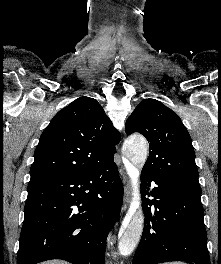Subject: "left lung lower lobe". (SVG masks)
I'll return each instance as SVG.
<instances>
[{
	"label": "left lung lower lobe",
	"instance_id": "1",
	"mask_svg": "<svg viewBox=\"0 0 221 264\" xmlns=\"http://www.w3.org/2000/svg\"><path fill=\"white\" fill-rule=\"evenodd\" d=\"M141 179L145 221L132 264H210L201 189L144 171ZM151 182L154 187L150 189Z\"/></svg>",
	"mask_w": 221,
	"mask_h": 264
}]
</instances>
